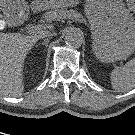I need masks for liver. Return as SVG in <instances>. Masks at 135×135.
I'll return each mask as SVG.
<instances>
[{"mask_svg":"<svg viewBox=\"0 0 135 135\" xmlns=\"http://www.w3.org/2000/svg\"><path fill=\"white\" fill-rule=\"evenodd\" d=\"M0 20V29L4 27ZM42 32V31H41ZM40 32L25 36L0 33V95L17 97L24 91L23 65L28 52L40 39Z\"/></svg>","mask_w":135,"mask_h":135,"instance_id":"obj_1","label":"liver"}]
</instances>
